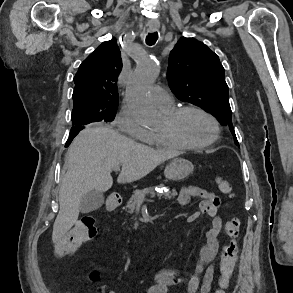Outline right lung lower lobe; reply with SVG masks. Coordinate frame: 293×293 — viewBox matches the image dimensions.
<instances>
[{"label": "right lung lower lobe", "instance_id": "obj_1", "mask_svg": "<svg viewBox=\"0 0 293 293\" xmlns=\"http://www.w3.org/2000/svg\"><path fill=\"white\" fill-rule=\"evenodd\" d=\"M84 128H85V126H73L71 128L70 136L66 142L65 147H68L70 145L71 141L74 139V137Z\"/></svg>", "mask_w": 293, "mask_h": 293}]
</instances>
